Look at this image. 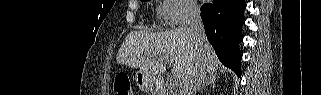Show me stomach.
Returning a JSON list of instances; mask_svg holds the SVG:
<instances>
[{"mask_svg":"<svg viewBox=\"0 0 321 95\" xmlns=\"http://www.w3.org/2000/svg\"><path fill=\"white\" fill-rule=\"evenodd\" d=\"M135 81L139 89L145 92H152L154 90L153 82L151 77L146 73L139 71L135 76Z\"/></svg>","mask_w":321,"mask_h":95,"instance_id":"1","label":"stomach"}]
</instances>
